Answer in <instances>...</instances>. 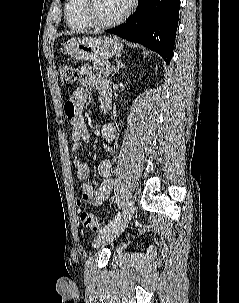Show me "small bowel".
<instances>
[{
	"instance_id": "1",
	"label": "small bowel",
	"mask_w": 239,
	"mask_h": 303,
	"mask_svg": "<svg viewBox=\"0 0 239 303\" xmlns=\"http://www.w3.org/2000/svg\"><path fill=\"white\" fill-rule=\"evenodd\" d=\"M81 86L73 93L64 104V113L70 124L69 134L73 141V152L78 154L84 145L90 141V133L82 118V110L88 101L91 89L98 93V106L101 111L111 108L112 96L109 84L104 78L95 75L89 66H82L80 70ZM102 135L107 144L117 140L118 131L112 124H106L102 128ZM77 178L81 182V194L89 204L102 205L110 195L113 186L112 164L109 160H103L98 164L97 172L101 177L98 187H94L87 180L89 166L77 156L74 159Z\"/></svg>"
}]
</instances>
